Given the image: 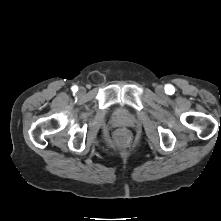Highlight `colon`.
Segmentation results:
<instances>
[{"label":"colon","instance_id":"1","mask_svg":"<svg viewBox=\"0 0 221 221\" xmlns=\"http://www.w3.org/2000/svg\"><path fill=\"white\" fill-rule=\"evenodd\" d=\"M131 139L130 133L126 129H119L113 136V141L117 146H126Z\"/></svg>","mask_w":221,"mask_h":221}]
</instances>
